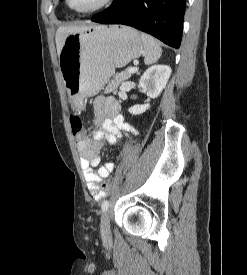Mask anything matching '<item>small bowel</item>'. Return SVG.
Listing matches in <instances>:
<instances>
[{"mask_svg":"<svg viewBox=\"0 0 247 275\" xmlns=\"http://www.w3.org/2000/svg\"><path fill=\"white\" fill-rule=\"evenodd\" d=\"M95 123L101 128L93 136V140L86 139L78 142L77 149L80 153V164L89 192L95 200L103 199L105 193L99 183L107 178L114 170L113 162H106L99 166L100 150L105 143L110 145L118 144L123 133L138 135V132L129 125L120 113V104L113 98L104 97L94 101ZM97 170H94L97 168Z\"/></svg>","mask_w":247,"mask_h":275,"instance_id":"small-bowel-1","label":"small bowel"}]
</instances>
